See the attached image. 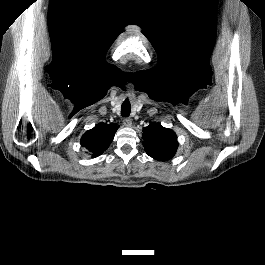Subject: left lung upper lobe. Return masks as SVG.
<instances>
[{"mask_svg": "<svg viewBox=\"0 0 265 265\" xmlns=\"http://www.w3.org/2000/svg\"><path fill=\"white\" fill-rule=\"evenodd\" d=\"M143 131L144 148L150 157L158 161H167L175 155L178 142L174 131L155 122Z\"/></svg>", "mask_w": 265, "mask_h": 265, "instance_id": "1", "label": "left lung upper lobe"}]
</instances>
